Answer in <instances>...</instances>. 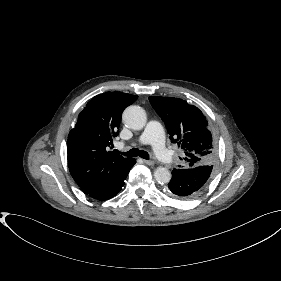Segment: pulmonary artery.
Masks as SVG:
<instances>
[{"instance_id": "1", "label": "pulmonary artery", "mask_w": 281, "mask_h": 281, "mask_svg": "<svg viewBox=\"0 0 281 281\" xmlns=\"http://www.w3.org/2000/svg\"><path fill=\"white\" fill-rule=\"evenodd\" d=\"M138 140L141 144H150L156 156L163 163L171 164L175 161L174 155L166 147L164 131L158 121L148 122ZM116 146L117 148H123L124 142H117Z\"/></svg>"}]
</instances>
